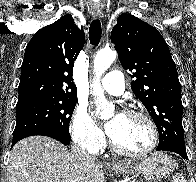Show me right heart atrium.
I'll return each instance as SVG.
<instances>
[{
	"label": "right heart atrium",
	"instance_id": "1",
	"mask_svg": "<svg viewBox=\"0 0 196 182\" xmlns=\"http://www.w3.org/2000/svg\"><path fill=\"white\" fill-rule=\"evenodd\" d=\"M70 132L74 142L85 150L97 152L104 146L103 132L84 106H79L76 109Z\"/></svg>",
	"mask_w": 196,
	"mask_h": 182
}]
</instances>
